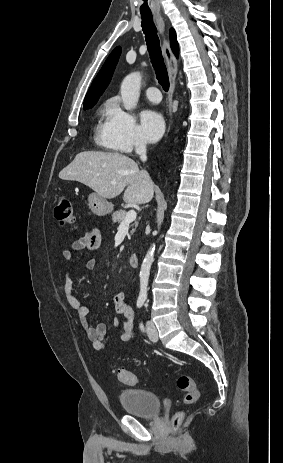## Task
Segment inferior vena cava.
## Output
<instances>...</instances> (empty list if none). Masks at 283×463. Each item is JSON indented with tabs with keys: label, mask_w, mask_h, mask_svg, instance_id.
Masks as SVG:
<instances>
[{
	"label": "inferior vena cava",
	"mask_w": 283,
	"mask_h": 463,
	"mask_svg": "<svg viewBox=\"0 0 283 463\" xmlns=\"http://www.w3.org/2000/svg\"><path fill=\"white\" fill-rule=\"evenodd\" d=\"M135 151L140 156L142 161H146V141L143 139H137L135 142Z\"/></svg>",
	"instance_id": "obj_1"
}]
</instances>
